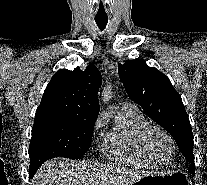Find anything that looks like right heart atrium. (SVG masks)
<instances>
[{"mask_svg": "<svg viewBox=\"0 0 207 185\" xmlns=\"http://www.w3.org/2000/svg\"><path fill=\"white\" fill-rule=\"evenodd\" d=\"M109 121V114L107 112H101L95 120L94 128L95 131L100 130Z\"/></svg>", "mask_w": 207, "mask_h": 185, "instance_id": "1", "label": "right heart atrium"}]
</instances>
